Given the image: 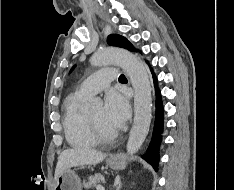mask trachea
Listing matches in <instances>:
<instances>
[{
  "label": "trachea",
  "instance_id": "trachea-1",
  "mask_svg": "<svg viewBox=\"0 0 234 190\" xmlns=\"http://www.w3.org/2000/svg\"><path fill=\"white\" fill-rule=\"evenodd\" d=\"M126 79V77L123 75V74H121L120 76H119V80H125Z\"/></svg>",
  "mask_w": 234,
  "mask_h": 190
}]
</instances>
